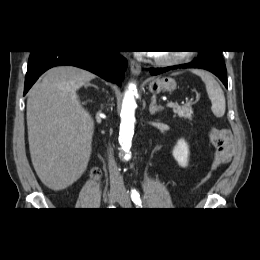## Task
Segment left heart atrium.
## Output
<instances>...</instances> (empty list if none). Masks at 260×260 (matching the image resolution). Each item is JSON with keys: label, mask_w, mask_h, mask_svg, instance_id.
<instances>
[{"label": "left heart atrium", "mask_w": 260, "mask_h": 260, "mask_svg": "<svg viewBox=\"0 0 260 260\" xmlns=\"http://www.w3.org/2000/svg\"><path fill=\"white\" fill-rule=\"evenodd\" d=\"M149 55H153L154 53L153 52H148Z\"/></svg>", "instance_id": "1"}]
</instances>
